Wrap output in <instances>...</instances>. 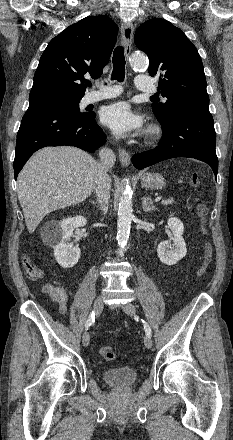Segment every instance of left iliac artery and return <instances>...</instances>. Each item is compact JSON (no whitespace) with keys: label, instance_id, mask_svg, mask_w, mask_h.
I'll list each match as a JSON object with an SVG mask.
<instances>
[{"label":"left iliac artery","instance_id":"obj_1","mask_svg":"<svg viewBox=\"0 0 233 440\" xmlns=\"http://www.w3.org/2000/svg\"><path fill=\"white\" fill-rule=\"evenodd\" d=\"M142 322L144 323V329H145L146 335L151 337V328H150V326L144 320H142Z\"/></svg>","mask_w":233,"mask_h":440}]
</instances>
